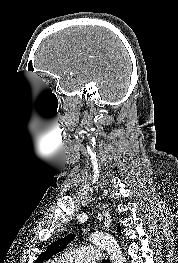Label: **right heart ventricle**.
Here are the masks:
<instances>
[{
    "label": "right heart ventricle",
    "mask_w": 178,
    "mask_h": 263,
    "mask_svg": "<svg viewBox=\"0 0 178 263\" xmlns=\"http://www.w3.org/2000/svg\"><path fill=\"white\" fill-rule=\"evenodd\" d=\"M51 263H59L57 260H53L51 261Z\"/></svg>",
    "instance_id": "obj_1"
}]
</instances>
